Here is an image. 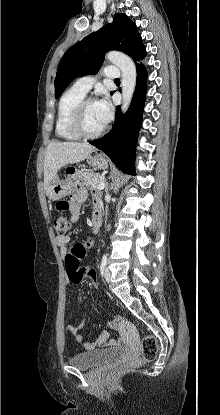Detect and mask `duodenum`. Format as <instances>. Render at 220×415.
<instances>
[{
	"mask_svg": "<svg viewBox=\"0 0 220 415\" xmlns=\"http://www.w3.org/2000/svg\"><path fill=\"white\" fill-rule=\"evenodd\" d=\"M102 224V212H98L95 216H94V220H93V232L94 234H97L99 232V228Z\"/></svg>",
	"mask_w": 220,
	"mask_h": 415,
	"instance_id": "1",
	"label": "duodenum"
}]
</instances>
